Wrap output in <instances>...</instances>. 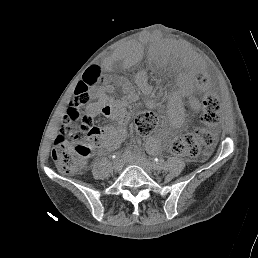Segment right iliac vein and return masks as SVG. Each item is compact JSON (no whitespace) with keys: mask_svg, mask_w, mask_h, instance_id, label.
Wrapping results in <instances>:
<instances>
[{"mask_svg":"<svg viewBox=\"0 0 258 258\" xmlns=\"http://www.w3.org/2000/svg\"><path fill=\"white\" fill-rule=\"evenodd\" d=\"M123 165H124V163H123L122 160L116 159L114 161L113 168H114L115 171H121L122 168H123Z\"/></svg>","mask_w":258,"mask_h":258,"instance_id":"1","label":"right iliac vein"}]
</instances>
